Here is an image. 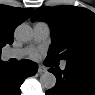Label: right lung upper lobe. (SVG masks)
<instances>
[{
    "mask_svg": "<svg viewBox=\"0 0 95 95\" xmlns=\"http://www.w3.org/2000/svg\"><path fill=\"white\" fill-rule=\"evenodd\" d=\"M32 11L31 8L0 5V54L2 47L13 43L16 25L28 19Z\"/></svg>",
    "mask_w": 95,
    "mask_h": 95,
    "instance_id": "obj_1",
    "label": "right lung upper lobe"
}]
</instances>
